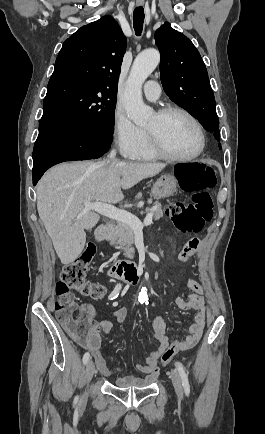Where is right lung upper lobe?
<instances>
[{
    "instance_id": "1",
    "label": "right lung upper lobe",
    "mask_w": 265,
    "mask_h": 434,
    "mask_svg": "<svg viewBox=\"0 0 265 434\" xmlns=\"http://www.w3.org/2000/svg\"><path fill=\"white\" fill-rule=\"evenodd\" d=\"M125 51L121 28L113 17L104 16L81 27L63 43L51 78L85 76L117 87Z\"/></svg>"
}]
</instances>
